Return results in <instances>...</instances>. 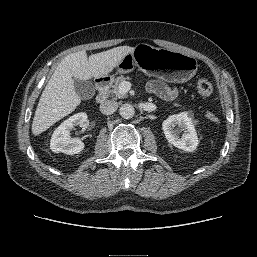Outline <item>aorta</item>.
I'll return each instance as SVG.
<instances>
[{
  "mask_svg": "<svg viewBox=\"0 0 257 257\" xmlns=\"http://www.w3.org/2000/svg\"><path fill=\"white\" fill-rule=\"evenodd\" d=\"M119 113L122 118L130 119L134 116L135 109L131 104L125 103V104L121 105V107L119 109Z\"/></svg>",
  "mask_w": 257,
  "mask_h": 257,
  "instance_id": "762f6f07",
  "label": "aorta"
}]
</instances>
